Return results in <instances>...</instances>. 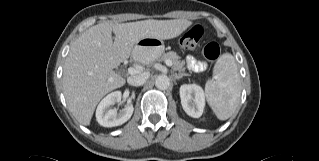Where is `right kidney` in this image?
Returning <instances> with one entry per match:
<instances>
[{
  "label": "right kidney",
  "instance_id": "ca27d5eb",
  "mask_svg": "<svg viewBox=\"0 0 319 161\" xmlns=\"http://www.w3.org/2000/svg\"><path fill=\"white\" fill-rule=\"evenodd\" d=\"M121 92L114 91L101 100L96 109V120L104 127H115L127 122L134 111L132 105H126L119 113L110 107L121 101Z\"/></svg>",
  "mask_w": 319,
  "mask_h": 161
}]
</instances>
